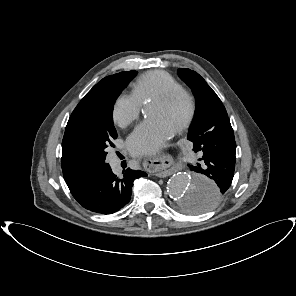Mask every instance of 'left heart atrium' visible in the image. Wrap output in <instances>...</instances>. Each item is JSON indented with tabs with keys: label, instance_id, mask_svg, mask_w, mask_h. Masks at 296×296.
I'll use <instances>...</instances> for the list:
<instances>
[{
	"label": "left heart atrium",
	"instance_id": "39dd6f15",
	"mask_svg": "<svg viewBox=\"0 0 296 296\" xmlns=\"http://www.w3.org/2000/svg\"><path fill=\"white\" fill-rule=\"evenodd\" d=\"M174 135V129L159 118H150L129 135L127 146L136 156H150L163 148Z\"/></svg>",
	"mask_w": 296,
	"mask_h": 296
}]
</instances>
